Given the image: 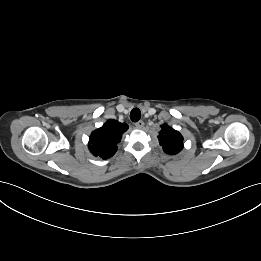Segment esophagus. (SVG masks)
<instances>
[{"label":"esophagus","instance_id":"34e87169","mask_svg":"<svg viewBox=\"0 0 261 261\" xmlns=\"http://www.w3.org/2000/svg\"><path fill=\"white\" fill-rule=\"evenodd\" d=\"M136 128L138 129H141L144 127V122L142 120L138 121L136 124H135Z\"/></svg>","mask_w":261,"mask_h":261}]
</instances>
